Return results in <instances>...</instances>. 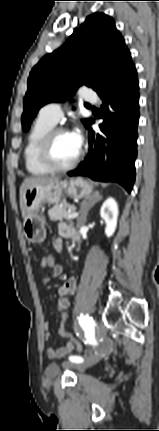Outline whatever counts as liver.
<instances>
[{
	"label": "liver",
	"instance_id": "1",
	"mask_svg": "<svg viewBox=\"0 0 159 431\" xmlns=\"http://www.w3.org/2000/svg\"><path fill=\"white\" fill-rule=\"evenodd\" d=\"M59 181L58 177H28L26 178L20 187V208L22 216L25 219L26 211L24 206V192L27 188L41 186L52 182Z\"/></svg>",
	"mask_w": 159,
	"mask_h": 431
}]
</instances>
